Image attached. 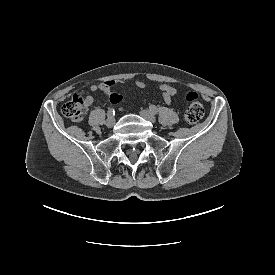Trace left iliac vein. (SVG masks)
I'll list each match as a JSON object with an SVG mask.
<instances>
[{
	"label": "left iliac vein",
	"mask_w": 275,
	"mask_h": 275,
	"mask_svg": "<svg viewBox=\"0 0 275 275\" xmlns=\"http://www.w3.org/2000/svg\"><path fill=\"white\" fill-rule=\"evenodd\" d=\"M140 115L153 124L156 122L154 115L148 110H141Z\"/></svg>",
	"instance_id": "1"
}]
</instances>
